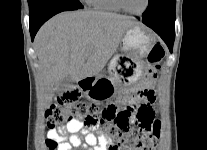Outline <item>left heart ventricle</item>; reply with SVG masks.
I'll return each instance as SVG.
<instances>
[{"label":"left heart ventricle","mask_w":207,"mask_h":150,"mask_svg":"<svg viewBox=\"0 0 207 150\" xmlns=\"http://www.w3.org/2000/svg\"><path fill=\"white\" fill-rule=\"evenodd\" d=\"M123 1L125 6L133 12L141 11L146 3V0H123Z\"/></svg>","instance_id":"obj_1"}]
</instances>
